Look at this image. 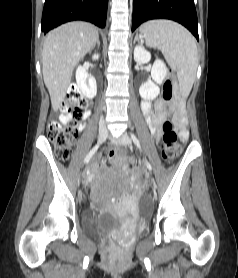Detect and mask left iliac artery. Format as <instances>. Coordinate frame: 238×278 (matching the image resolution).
<instances>
[{
    "instance_id": "left-iliac-artery-1",
    "label": "left iliac artery",
    "mask_w": 238,
    "mask_h": 278,
    "mask_svg": "<svg viewBox=\"0 0 238 278\" xmlns=\"http://www.w3.org/2000/svg\"><path fill=\"white\" fill-rule=\"evenodd\" d=\"M130 135L135 145L141 150V145L137 137L133 133H130ZM146 166L150 171L152 170V166L147 160H146Z\"/></svg>"
}]
</instances>
